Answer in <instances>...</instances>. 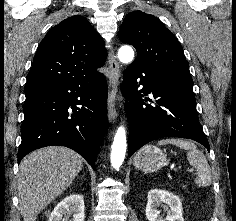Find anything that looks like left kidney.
<instances>
[{
  "label": "left kidney",
  "mask_w": 236,
  "mask_h": 221,
  "mask_svg": "<svg viewBox=\"0 0 236 221\" xmlns=\"http://www.w3.org/2000/svg\"><path fill=\"white\" fill-rule=\"evenodd\" d=\"M146 205V217L149 221H184L182 215V203L178 196L161 189H151L148 192ZM165 204L167 216L158 210L161 204Z\"/></svg>",
  "instance_id": "obj_1"
}]
</instances>
